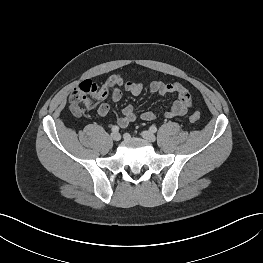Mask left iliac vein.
I'll use <instances>...</instances> for the list:
<instances>
[{"label": "left iliac vein", "mask_w": 263, "mask_h": 263, "mask_svg": "<svg viewBox=\"0 0 263 263\" xmlns=\"http://www.w3.org/2000/svg\"><path fill=\"white\" fill-rule=\"evenodd\" d=\"M142 137L149 142H154L156 140V136L150 131H143L141 133Z\"/></svg>", "instance_id": "left-iliac-vein-1"}]
</instances>
